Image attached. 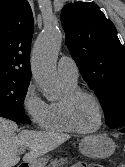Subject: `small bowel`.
I'll return each instance as SVG.
<instances>
[{
	"label": "small bowel",
	"instance_id": "c3829d8e",
	"mask_svg": "<svg viewBox=\"0 0 125 167\" xmlns=\"http://www.w3.org/2000/svg\"><path fill=\"white\" fill-rule=\"evenodd\" d=\"M72 167H102L101 165H98V164H91L89 166L85 165V164H82V163H78V164H75L74 166Z\"/></svg>",
	"mask_w": 125,
	"mask_h": 167
}]
</instances>
